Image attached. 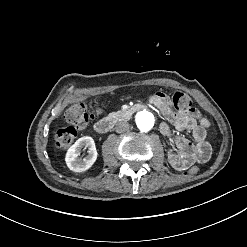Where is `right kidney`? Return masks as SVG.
Listing matches in <instances>:
<instances>
[{
    "label": "right kidney",
    "mask_w": 247,
    "mask_h": 247,
    "mask_svg": "<svg viewBox=\"0 0 247 247\" xmlns=\"http://www.w3.org/2000/svg\"><path fill=\"white\" fill-rule=\"evenodd\" d=\"M84 147L88 148V156L81 159L79 155ZM97 156L94 139L91 136H83L69 147L65 155V163L71 171L81 173L92 167Z\"/></svg>",
    "instance_id": "right-kidney-1"
}]
</instances>
